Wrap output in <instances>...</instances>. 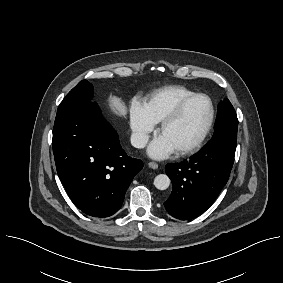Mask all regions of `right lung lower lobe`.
Listing matches in <instances>:
<instances>
[{"instance_id": "1", "label": "right lung lower lobe", "mask_w": 283, "mask_h": 283, "mask_svg": "<svg viewBox=\"0 0 283 283\" xmlns=\"http://www.w3.org/2000/svg\"><path fill=\"white\" fill-rule=\"evenodd\" d=\"M53 153L58 176L73 203L94 217L113 215L143 168L129 157L96 102H84L56 115Z\"/></svg>"}]
</instances>
